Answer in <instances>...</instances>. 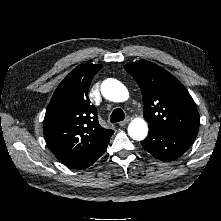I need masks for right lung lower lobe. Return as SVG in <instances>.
I'll list each match as a JSON object with an SVG mask.
<instances>
[{"instance_id": "right-lung-lower-lobe-1", "label": "right lung lower lobe", "mask_w": 221, "mask_h": 221, "mask_svg": "<svg viewBox=\"0 0 221 221\" xmlns=\"http://www.w3.org/2000/svg\"><path fill=\"white\" fill-rule=\"evenodd\" d=\"M106 147L103 148L98 153L94 154L92 157H90V158L86 159L85 161L73 166L72 168H74V169H84V168L89 167L91 164H93L105 152Z\"/></svg>"}]
</instances>
